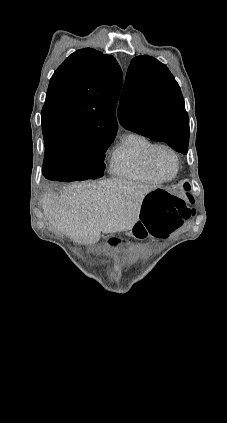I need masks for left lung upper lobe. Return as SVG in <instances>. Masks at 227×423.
Segmentation results:
<instances>
[{"label": "left lung upper lobe", "mask_w": 227, "mask_h": 423, "mask_svg": "<svg viewBox=\"0 0 227 423\" xmlns=\"http://www.w3.org/2000/svg\"><path fill=\"white\" fill-rule=\"evenodd\" d=\"M127 129L174 148L189 143V119L180 87L166 65L144 55L128 68L118 108Z\"/></svg>", "instance_id": "obj_1"}]
</instances>
